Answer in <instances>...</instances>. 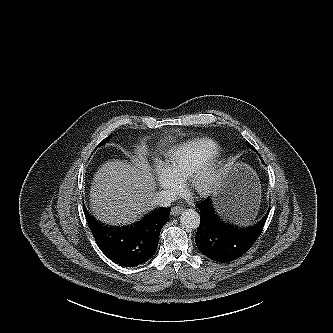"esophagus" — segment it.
<instances>
[{"label": "esophagus", "instance_id": "esophagus-1", "mask_svg": "<svg viewBox=\"0 0 333 333\" xmlns=\"http://www.w3.org/2000/svg\"><path fill=\"white\" fill-rule=\"evenodd\" d=\"M182 211H183V208H182V207H178V206H176V207H173V208L171 209V214H172L173 216H177V215L181 214Z\"/></svg>", "mask_w": 333, "mask_h": 333}]
</instances>
